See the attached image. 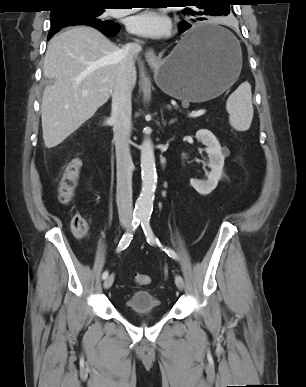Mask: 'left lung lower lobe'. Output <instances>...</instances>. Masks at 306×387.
<instances>
[{"label":"left lung lower lobe","instance_id":"0a47b994","mask_svg":"<svg viewBox=\"0 0 306 387\" xmlns=\"http://www.w3.org/2000/svg\"><path fill=\"white\" fill-rule=\"evenodd\" d=\"M228 14V13H227ZM192 25L187 22H180L179 30L184 32L188 30ZM224 32L219 30H207L204 32H191V29L186 33V45L193 46L205 41L223 39Z\"/></svg>","mask_w":306,"mask_h":387}]
</instances>
